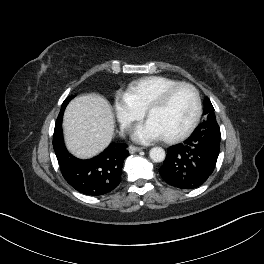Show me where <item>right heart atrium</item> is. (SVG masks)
Masks as SVG:
<instances>
[{"label":"right heart atrium","mask_w":264,"mask_h":264,"mask_svg":"<svg viewBox=\"0 0 264 264\" xmlns=\"http://www.w3.org/2000/svg\"><path fill=\"white\" fill-rule=\"evenodd\" d=\"M114 110L119 125L123 130H128L135 121L144 115V111L128 100L125 94L116 97Z\"/></svg>","instance_id":"right-heart-atrium-1"}]
</instances>
